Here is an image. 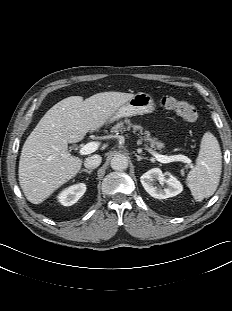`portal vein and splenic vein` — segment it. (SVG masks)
<instances>
[{
  "label": "portal vein and splenic vein",
  "instance_id": "obj_1",
  "mask_svg": "<svg viewBox=\"0 0 232 311\" xmlns=\"http://www.w3.org/2000/svg\"><path fill=\"white\" fill-rule=\"evenodd\" d=\"M99 147V144L97 142H89L86 145H84L82 148H80L79 153L80 155H87L90 153H93L96 151ZM153 156L156 158L157 161L161 163H170L175 161H181L184 163H190V159L185 155H161L156 152H151Z\"/></svg>",
  "mask_w": 232,
  "mask_h": 311
}]
</instances>
